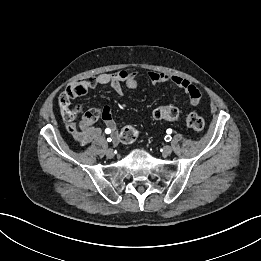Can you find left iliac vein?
I'll return each mask as SVG.
<instances>
[{
    "label": "left iliac vein",
    "instance_id": "1",
    "mask_svg": "<svg viewBox=\"0 0 261 261\" xmlns=\"http://www.w3.org/2000/svg\"><path fill=\"white\" fill-rule=\"evenodd\" d=\"M172 153V147L169 145H166L163 147V154L164 155H170Z\"/></svg>",
    "mask_w": 261,
    "mask_h": 261
}]
</instances>
